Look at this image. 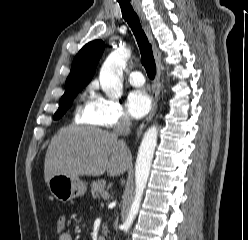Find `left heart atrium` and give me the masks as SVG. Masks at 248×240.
Masks as SVG:
<instances>
[{"instance_id": "obj_1", "label": "left heart atrium", "mask_w": 248, "mask_h": 240, "mask_svg": "<svg viewBox=\"0 0 248 240\" xmlns=\"http://www.w3.org/2000/svg\"><path fill=\"white\" fill-rule=\"evenodd\" d=\"M127 108L133 118H142L151 108L150 97L142 89L133 90L128 95Z\"/></svg>"}]
</instances>
